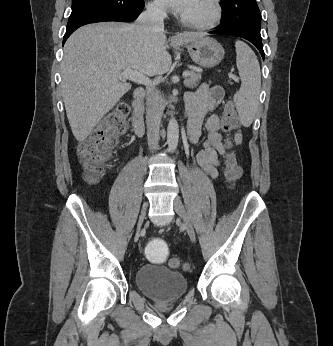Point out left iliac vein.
Instances as JSON below:
<instances>
[{"label":"left iliac vein","mask_w":333,"mask_h":346,"mask_svg":"<svg viewBox=\"0 0 333 346\" xmlns=\"http://www.w3.org/2000/svg\"><path fill=\"white\" fill-rule=\"evenodd\" d=\"M173 208H174L175 212L183 220V225H184L189 237L191 238L192 241H195L196 240V234H195L194 227L192 225V222H191V220H190V218L186 212V209H185L181 199L178 196H176L174 198Z\"/></svg>","instance_id":"obj_1"}]
</instances>
